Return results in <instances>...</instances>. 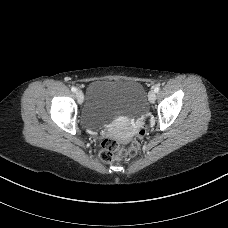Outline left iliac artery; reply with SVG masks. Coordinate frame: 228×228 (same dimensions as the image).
Listing matches in <instances>:
<instances>
[{
	"label": "left iliac artery",
	"instance_id": "obj_1",
	"mask_svg": "<svg viewBox=\"0 0 228 228\" xmlns=\"http://www.w3.org/2000/svg\"><path fill=\"white\" fill-rule=\"evenodd\" d=\"M159 90H160L159 86H155V87H154V92H155V93H158Z\"/></svg>",
	"mask_w": 228,
	"mask_h": 228
}]
</instances>
